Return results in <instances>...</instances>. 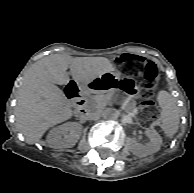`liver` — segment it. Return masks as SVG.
<instances>
[{"instance_id": "liver-1", "label": "liver", "mask_w": 194, "mask_h": 193, "mask_svg": "<svg viewBox=\"0 0 194 193\" xmlns=\"http://www.w3.org/2000/svg\"><path fill=\"white\" fill-rule=\"evenodd\" d=\"M68 68L73 80L82 84L115 70L105 57L51 54L35 62L25 74L15 111L17 127L28 144L40 142L50 127L72 116L63 91L55 85L68 84Z\"/></svg>"}]
</instances>
